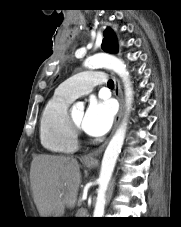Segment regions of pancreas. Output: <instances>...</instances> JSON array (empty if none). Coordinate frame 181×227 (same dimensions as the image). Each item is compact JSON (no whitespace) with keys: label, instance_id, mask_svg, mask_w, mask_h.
Masks as SVG:
<instances>
[{"label":"pancreas","instance_id":"1","mask_svg":"<svg viewBox=\"0 0 181 227\" xmlns=\"http://www.w3.org/2000/svg\"><path fill=\"white\" fill-rule=\"evenodd\" d=\"M85 214H86V209L85 208H80L78 210V212H77L76 217H86Z\"/></svg>","mask_w":181,"mask_h":227}]
</instances>
